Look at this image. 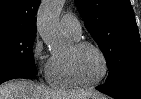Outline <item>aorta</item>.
Listing matches in <instances>:
<instances>
[{"mask_svg":"<svg viewBox=\"0 0 141 99\" xmlns=\"http://www.w3.org/2000/svg\"><path fill=\"white\" fill-rule=\"evenodd\" d=\"M63 0H44L37 14V31L52 53L66 50L67 42L59 30Z\"/></svg>","mask_w":141,"mask_h":99,"instance_id":"762f6f07","label":"aorta"}]
</instances>
